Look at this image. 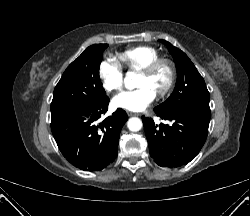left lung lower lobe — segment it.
Wrapping results in <instances>:
<instances>
[{
	"label": "left lung lower lobe",
	"instance_id": "1",
	"mask_svg": "<svg viewBox=\"0 0 250 216\" xmlns=\"http://www.w3.org/2000/svg\"><path fill=\"white\" fill-rule=\"evenodd\" d=\"M154 111L162 123L142 116L150 156L161 167L187 164L203 147L211 116L196 110L166 113L156 107Z\"/></svg>",
	"mask_w": 250,
	"mask_h": 216
}]
</instances>
